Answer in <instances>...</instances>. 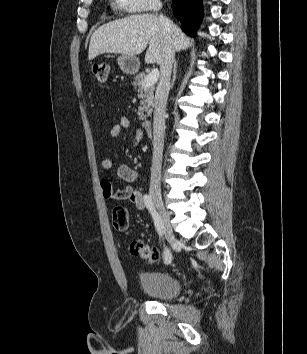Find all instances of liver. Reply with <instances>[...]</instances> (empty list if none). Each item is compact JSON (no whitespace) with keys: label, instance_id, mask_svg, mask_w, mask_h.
Listing matches in <instances>:
<instances>
[{"label":"liver","instance_id":"6515ba94","mask_svg":"<svg viewBox=\"0 0 307 354\" xmlns=\"http://www.w3.org/2000/svg\"><path fill=\"white\" fill-rule=\"evenodd\" d=\"M171 38L174 51L187 49L192 40L171 23ZM149 45L145 62H160L163 51V35L159 18L151 14L132 15L99 27L91 36L88 59L93 60L103 53L135 56Z\"/></svg>","mask_w":307,"mask_h":354}]
</instances>
